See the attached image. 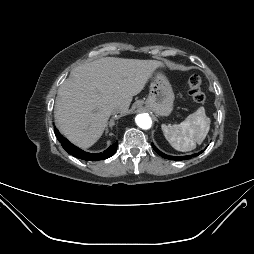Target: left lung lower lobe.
Instances as JSON below:
<instances>
[{
  "label": "left lung lower lobe",
  "instance_id": "0a47b994",
  "mask_svg": "<svg viewBox=\"0 0 254 254\" xmlns=\"http://www.w3.org/2000/svg\"><path fill=\"white\" fill-rule=\"evenodd\" d=\"M152 147L153 149L160 155L162 156L163 158H166V159H169V160H186V159H190L191 157H195L199 154H201L203 151L199 152V153H196V154H193L192 156L189 155V156H182V157H174V156H169V155H166L164 153H162L161 151H159L155 145L152 143Z\"/></svg>",
  "mask_w": 254,
  "mask_h": 254
}]
</instances>
